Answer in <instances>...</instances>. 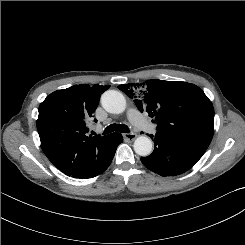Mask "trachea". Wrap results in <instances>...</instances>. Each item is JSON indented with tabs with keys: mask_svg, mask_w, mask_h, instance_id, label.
I'll use <instances>...</instances> for the list:
<instances>
[{
	"mask_svg": "<svg viewBox=\"0 0 245 245\" xmlns=\"http://www.w3.org/2000/svg\"><path fill=\"white\" fill-rule=\"evenodd\" d=\"M114 131L121 132V133H129L130 132L128 126L125 124H112V125H109L105 128L103 134H108V133H111Z\"/></svg>",
	"mask_w": 245,
	"mask_h": 245,
	"instance_id": "trachea-1",
	"label": "trachea"
}]
</instances>
